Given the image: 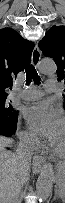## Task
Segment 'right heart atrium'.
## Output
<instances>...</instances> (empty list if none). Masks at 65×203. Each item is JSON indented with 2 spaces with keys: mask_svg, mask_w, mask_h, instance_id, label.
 I'll list each match as a JSON object with an SVG mask.
<instances>
[{
  "mask_svg": "<svg viewBox=\"0 0 65 203\" xmlns=\"http://www.w3.org/2000/svg\"><path fill=\"white\" fill-rule=\"evenodd\" d=\"M19 137L24 145L29 148L38 144V138L29 130H23L19 133Z\"/></svg>",
  "mask_w": 65,
  "mask_h": 203,
  "instance_id": "1",
  "label": "right heart atrium"
}]
</instances>
